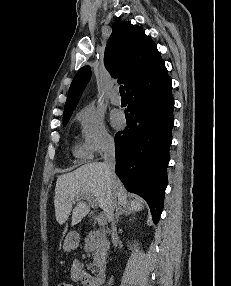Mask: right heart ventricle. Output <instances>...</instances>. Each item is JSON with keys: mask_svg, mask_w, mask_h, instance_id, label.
<instances>
[{"mask_svg": "<svg viewBox=\"0 0 231 286\" xmlns=\"http://www.w3.org/2000/svg\"><path fill=\"white\" fill-rule=\"evenodd\" d=\"M73 155L79 160H87L91 157L89 151L83 144L75 143L73 146Z\"/></svg>", "mask_w": 231, "mask_h": 286, "instance_id": "right-heart-ventricle-1", "label": "right heart ventricle"}]
</instances>
